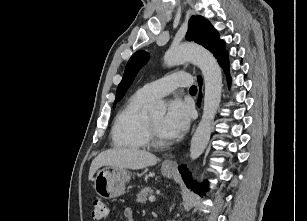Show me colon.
Returning <instances> with one entry per match:
<instances>
[{
  "mask_svg": "<svg viewBox=\"0 0 307 221\" xmlns=\"http://www.w3.org/2000/svg\"><path fill=\"white\" fill-rule=\"evenodd\" d=\"M93 212H92V216L94 219H103L106 218L108 216V207L106 202L103 199H96L93 203Z\"/></svg>",
  "mask_w": 307,
  "mask_h": 221,
  "instance_id": "5ec220e1",
  "label": "colon"
}]
</instances>
